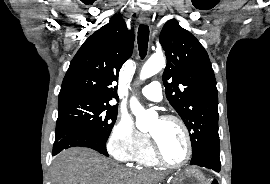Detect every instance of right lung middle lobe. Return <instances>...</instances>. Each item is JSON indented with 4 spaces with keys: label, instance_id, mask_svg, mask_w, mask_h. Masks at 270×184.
I'll return each mask as SVG.
<instances>
[{
    "label": "right lung middle lobe",
    "instance_id": "obj_1",
    "mask_svg": "<svg viewBox=\"0 0 270 184\" xmlns=\"http://www.w3.org/2000/svg\"><path fill=\"white\" fill-rule=\"evenodd\" d=\"M117 106L89 97L58 100L56 131L80 130L106 142L117 119Z\"/></svg>",
    "mask_w": 270,
    "mask_h": 184
}]
</instances>
